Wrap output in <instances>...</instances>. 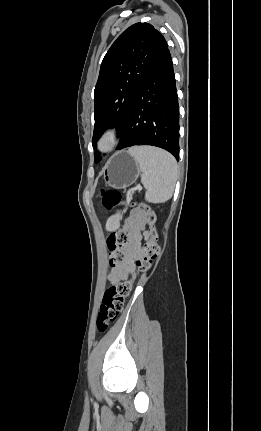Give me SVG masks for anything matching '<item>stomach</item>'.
I'll list each match as a JSON object with an SVG mask.
<instances>
[{
  "instance_id": "obj_1",
  "label": "stomach",
  "mask_w": 261,
  "mask_h": 431,
  "mask_svg": "<svg viewBox=\"0 0 261 431\" xmlns=\"http://www.w3.org/2000/svg\"><path fill=\"white\" fill-rule=\"evenodd\" d=\"M140 173L136 160L127 152L114 154L107 162L104 171V181L113 188H126L132 185Z\"/></svg>"
}]
</instances>
